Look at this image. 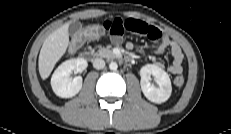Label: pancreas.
I'll return each mask as SVG.
<instances>
[{"mask_svg": "<svg viewBox=\"0 0 231 134\" xmlns=\"http://www.w3.org/2000/svg\"><path fill=\"white\" fill-rule=\"evenodd\" d=\"M97 55H99L101 57H105V58H114L115 57L114 53L110 49L103 48V47L99 48Z\"/></svg>", "mask_w": 231, "mask_h": 134, "instance_id": "obj_1", "label": "pancreas"}]
</instances>
